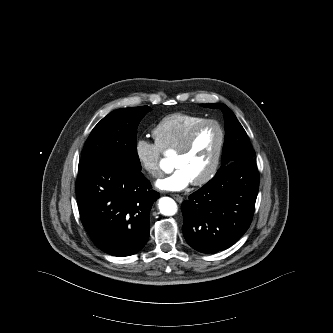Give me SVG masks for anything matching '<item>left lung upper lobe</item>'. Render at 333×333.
<instances>
[{
    "label": "left lung upper lobe",
    "mask_w": 333,
    "mask_h": 333,
    "mask_svg": "<svg viewBox=\"0 0 333 333\" xmlns=\"http://www.w3.org/2000/svg\"><path fill=\"white\" fill-rule=\"evenodd\" d=\"M203 106L219 108L224 113L226 134L222 153L223 164L221 168L236 160L253 158L255 152L250 145L244 128L239 123L234 113L226 105L220 103L203 104Z\"/></svg>",
    "instance_id": "left-lung-upper-lobe-1"
}]
</instances>
